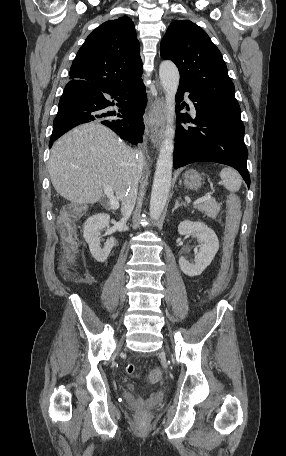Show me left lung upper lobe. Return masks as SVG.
<instances>
[{
    "mask_svg": "<svg viewBox=\"0 0 286 456\" xmlns=\"http://www.w3.org/2000/svg\"><path fill=\"white\" fill-rule=\"evenodd\" d=\"M160 54L179 68L180 84L240 109L221 52L202 28L190 20L172 22L161 42Z\"/></svg>",
    "mask_w": 286,
    "mask_h": 456,
    "instance_id": "obj_1",
    "label": "left lung upper lobe"
}]
</instances>
